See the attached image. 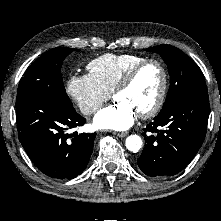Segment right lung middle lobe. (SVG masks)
<instances>
[{
	"mask_svg": "<svg viewBox=\"0 0 221 221\" xmlns=\"http://www.w3.org/2000/svg\"><path fill=\"white\" fill-rule=\"evenodd\" d=\"M73 51L71 48L57 47L38 58L21 78L17 91L16 106L26 100L44 97L67 106H72L66 95L61 77L63 60Z\"/></svg>",
	"mask_w": 221,
	"mask_h": 221,
	"instance_id": "obj_1",
	"label": "right lung middle lobe"
}]
</instances>
